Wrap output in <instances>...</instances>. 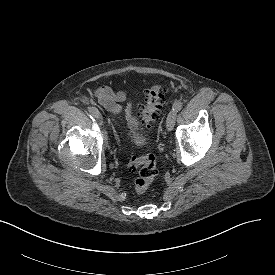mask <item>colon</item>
Segmentation results:
<instances>
[{"label": "colon", "instance_id": "1", "mask_svg": "<svg viewBox=\"0 0 275 275\" xmlns=\"http://www.w3.org/2000/svg\"><path fill=\"white\" fill-rule=\"evenodd\" d=\"M164 105V89L160 85L150 87L144 93V102L139 111L141 124L149 126L159 118ZM127 166L130 170L139 167L138 176L134 182V189L137 193L142 194L148 190L155 179L158 170L156 158L153 154L138 157L132 155L128 159Z\"/></svg>", "mask_w": 275, "mask_h": 275}]
</instances>
